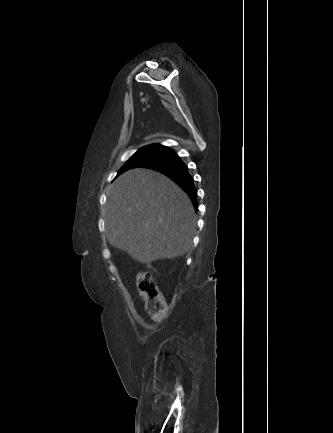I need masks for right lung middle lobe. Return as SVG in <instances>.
<instances>
[{
  "mask_svg": "<svg viewBox=\"0 0 333 433\" xmlns=\"http://www.w3.org/2000/svg\"><path fill=\"white\" fill-rule=\"evenodd\" d=\"M172 151L173 150L160 145H150L143 147L127 161V163L118 172V175L128 169L140 167L143 164L155 161L163 156L168 155Z\"/></svg>",
  "mask_w": 333,
  "mask_h": 433,
  "instance_id": "1",
  "label": "right lung middle lobe"
}]
</instances>
